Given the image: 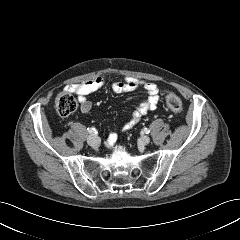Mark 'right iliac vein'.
Masks as SVG:
<instances>
[{"label":"right iliac vein","mask_w":240,"mask_h":240,"mask_svg":"<svg viewBox=\"0 0 240 240\" xmlns=\"http://www.w3.org/2000/svg\"><path fill=\"white\" fill-rule=\"evenodd\" d=\"M87 143L92 147H96L100 144V139L96 135H89L87 137Z\"/></svg>","instance_id":"1"}]
</instances>
